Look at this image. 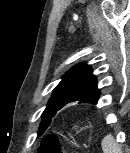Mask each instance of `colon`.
Returning <instances> with one entry per match:
<instances>
[{"mask_svg": "<svg viewBox=\"0 0 130 153\" xmlns=\"http://www.w3.org/2000/svg\"><path fill=\"white\" fill-rule=\"evenodd\" d=\"M40 153H59L61 149L59 148L57 141L53 137H47L39 148Z\"/></svg>", "mask_w": 130, "mask_h": 153, "instance_id": "5ec220e1", "label": "colon"}]
</instances>
